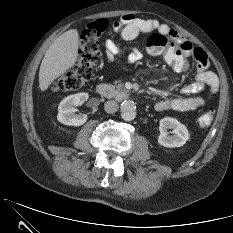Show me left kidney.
Here are the masks:
<instances>
[{
    "label": "left kidney",
    "mask_w": 233,
    "mask_h": 233,
    "mask_svg": "<svg viewBox=\"0 0 233 233\" xmlns=\"http://www.w3.org/2000/svg\"><path fill=\"white\" fill-rule=\"evenodd\" d=\"M167 129H173V135L169 136ZM159 131L158 143L168 148L181 147L190 137L187 127L171 117H165L160 120Z\"/></svg>",
    "instance_id": "left-kidney-1"
}]
</instances>
